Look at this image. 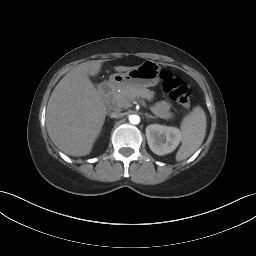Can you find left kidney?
Listing matches in <instances>:
<instances>
[{
    "label": "left kidney",
    "mask_w": 256,
    "mask_h": 256,
    "mask_svg": "<svg viewBox=\"0 0 256 256\" xmlns=\"http://www.w3.org/2000/svg\"><path fill=\"white\" fill-rule=\"evenodd\" d=\"M146 137L153 153L165 155L176 149L181 141L182 134L176 127L150 124L146 127Z\"/></svg>",
    "instance_id": "obj_1"
}]
</instances>
